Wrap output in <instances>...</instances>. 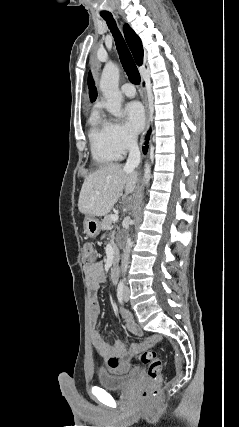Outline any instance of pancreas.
<instances>
[{
    "label": "pancreas",
    "mask_w": 239,
    "mask_h": 427,
    "mask_svg": "<svg viewBox=\"0 0 239 427\" xmlns=\"http://www.w3.org/2000/svg\"><path fill=\"white\" fill-rule=\"evenodd\" d=\"M111 215H106L105 217H104V219L102 220V223H101V229L102 230H108V229H110L111 227H112V220H111Z\"/></svg>",
    "instance_id": "pancreas-1"
}]
</instances>
